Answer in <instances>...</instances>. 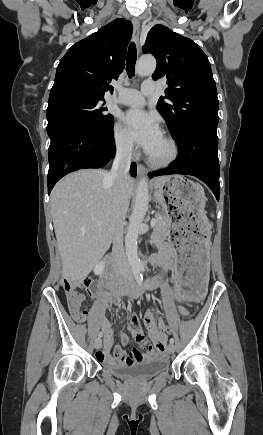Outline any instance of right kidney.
<instances>
[{
    "instance_id": "ca27d5eb",
    "label": "right kidney",
    "mask_w": 263,
    "mask_h": 435,
    "mask_svg": "<svg viewBox=\"0 0 263 435\" xmlns=\"http://www.w3.org/2000/svg\"><path fill=\"white\" fill-rule=\"evenodd\" d=\"M104 266H105L104 261H100V262L96 263V265L94 267L95 275H100L104 270Z\"/></svg>"
}]
</instances>
